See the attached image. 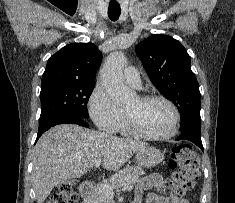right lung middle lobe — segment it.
<instances>
[{
    "label": "right lung middle lobe",
    "mask_w": 235,
    "mask_h": 203,
    "mask_svg": "<svg viewBox=\"0 0 235 203\" xmlns=\"http://www.w3.org/2000/svg\"><path fill=\"white\" fill-rule=\"evenodd\" d=\"M94 86L95 82H59L41 86L39 122L62 115L87 119V103Z\"/></svg>",
    "instance_id": "dd1d6c3e"
}]
</instances>
